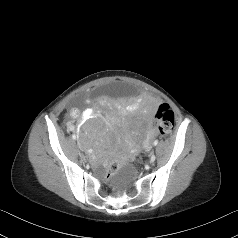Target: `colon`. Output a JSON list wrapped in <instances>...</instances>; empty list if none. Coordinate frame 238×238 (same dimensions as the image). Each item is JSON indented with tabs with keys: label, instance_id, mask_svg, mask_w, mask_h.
<instances>
[{
	"label": "colon",
	"instance_id": "colon-1",
	"mask_svg": "<svg viewBox=\"0 0 238 238\" xmlns=\"http://www.w3.org/2000/svg\"><path fill=\"white\" fill-rule=\"evenodd\" d=\"M155 119L160 134L164 135L172 131L174 127V113L167 104L159 105L155 114ZM121 166V161L113 160L109 162L106 166V171L101 177V182L103 184H108L110 182V179L112 178L113 173H115Z\"/></svg>",
	"mask_w": 238,
	"mask_h": 238
}]
</instances>
